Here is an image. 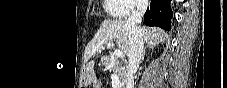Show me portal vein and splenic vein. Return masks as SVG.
<instances>
[{
	"label": "portal vein and splenic vein",
	"instance_id": "obj_1",
	"mask_svg": "<svg viewBox=\"0 0 227 88\" xmlns=\"http://www.w3.org/2000/svg\"><path fill=\"white\" fill-rule=\"evenodd\" d=\"M106 45H107V47H113L114 43L113 42H108ZM114 54H115L116 57L121 58V59L124 57L123 52L121 50H119V49H116L114 51Z\"/></svg>",
	"mask_w": 227,
	"mask_h": 88
}]
</instances>
